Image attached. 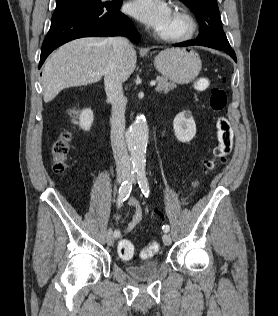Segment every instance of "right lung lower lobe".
<instances>
[{
    "mask_svg": "<svg viewBox=\"0 0 278 316\" xmlns=\"http://www.w3.org/2000/svg\"><path fill=\"white\" fill-rule=\"evenodd\" d=\"M122 2L114 0L55 11L42 44L39 68L54 49L77 38L125 35L138 42L140 37L131 20L120 12Z\"/></svg>",
    "mask_w": 278,
    "mask_h": 316,
    "instance_id": "1",
    "label": "right lung lower lobe"
}]
</instances>
